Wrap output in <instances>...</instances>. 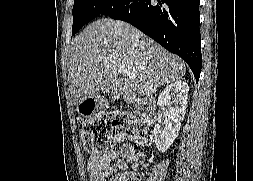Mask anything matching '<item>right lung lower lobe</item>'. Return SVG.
Wrapping results in <instances>:
<instances>
[{
  "label": "right lung lower lobe",
  "mask_w": 253,
  "mask_h": 181,
  "mask_svg": "<svg viewBox=\"0 0 253 181\" xmlns=\"http://www.w3.org/2000/svg\"><path fill=\"white\" fill-rule=\"evenodd\" d=\"M199 0H129L109 16L128 22L184 59L196 82L202 67Z\"/></svg>",
  "instance_id": "obj_1"
}]
</instances>
